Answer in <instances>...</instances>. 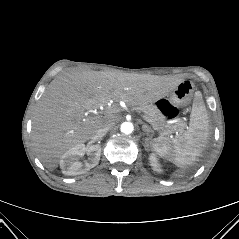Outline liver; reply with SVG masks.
Here are the masks:
<instances>
[{
  "instance_id": "liver-1",
  "label": "liver",
  "mask_w": 239,
  "mask_h": 239,
  "mask_svg": "<svg viewBox=\"0 0 239 239\" xmlns=\"http://www.w3.org/2000/svg\"><path fill=\"white\" fill-rule=\"evenodd\" d=\"M182 79L168 76L69 70L55 77L39 100L32 120L33 146L49 170L69 149L95 136L102 123L116 116L110 102L137 106L155 102ZM104 111L91 115V110Z\"/></svg>"
}]
</instances>
